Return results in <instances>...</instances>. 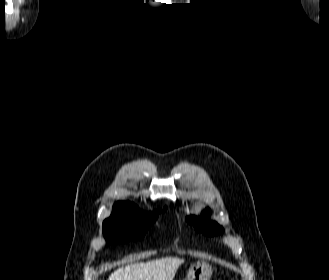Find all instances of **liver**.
<instances>
[{
  "mask_svg": "<svg viewBox=\"0 0 329 280\" xmlns=\"http://www.w3.org/2000/svg\"><path fill=\"white\" fill-rule=\"evenodd\" d=\"M184 259L165 257L147 262H136L115 270L108 280H173Z\"/></svg>",
  "mask_w": 329,
  "mask_h": 280,
  "instance_id": "6515ba94",
  "label": "liver"
}]
</instances>
